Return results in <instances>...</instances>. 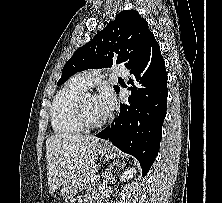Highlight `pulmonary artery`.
Here are the masks:
<instances>
[{
    "label": "pulmonary artery",
    "instance_id": "pulmonary-artery-1",
    "mask_svg": "<svg viewBox=\"0 0 222 203\" xmlns=\"http://www.w3.org/2000/svg\"><path fill=\"white\" fill-rule=\"evenodd\" d=\"M112 73L119 77H128L129 71L123 66H116L112 69ZM101 74L99 71L95 70H87L80 72L79 74L75 75L73 80L77 82L80 86L85 89L91 87L95 82L100 80Z\"/></svg>",
    "mask_w": 222,
    "mask_h": 203
}]
</instances>
